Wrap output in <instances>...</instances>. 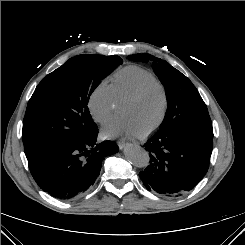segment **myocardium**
<instances>
[{
  "instance_id": "obj_1",
  "label": "myocardium",
  "mask_w": 245,
  "mask_h": 245,
  "mask_svg": "<svg viewBox=\"0 0 245 245\" xmlns=\"http://www.w3.org/2000/svg\"><path fill=\"white\" fill-rule=\"evenodd\" d=\"M150 86H156L157 88L160 89V91L162 93V97H163V106H162L161 114H160L159 118L157 119V121L149 129H147L146 131H144L143 133L140 134L141 138H145V137L151 135L152 133H154L157 129H159L160 126L163 124L165 118H166L168 108H169V95H168V91H167L166 87L159 80L152 79V80H149V81H146V82L140 84L129 95H127L121 102V106H122L123 104H125L127 102H131V101L136 100Z\"/></svg>"
}]
</instances>
